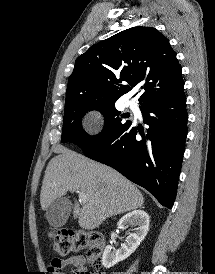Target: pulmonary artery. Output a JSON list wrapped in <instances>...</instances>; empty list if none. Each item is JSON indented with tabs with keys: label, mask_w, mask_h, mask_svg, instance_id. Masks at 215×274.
I'll list each match as a JSON object with an SVG mask.
<instances>
[{
	"label": "pulmonary artery",
	"mask_w": 215,
	"mask_h": 274,
	"mask_svg": "<svg viewBox=\"0 0 215 274\" xmlns=\"http://www.w3.org/2000/svg\"><path fill=\"white\" fill-rule=\"evenodd\" d=\"M127 104L130 109H135L137 107L136 103L133 100L128 101Z\"/></svg>",
	"instance_id": "obj_1"
}]
</instances>
